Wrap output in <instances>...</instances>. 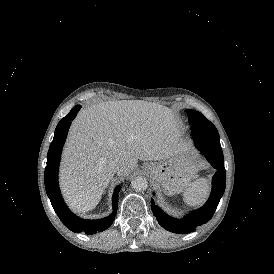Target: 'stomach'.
Wrapping results in <instances>:
<instances>
[{"label":"stomach","instance_id":"1","mask_svg":"<svg viewBox=\"0 0 274 274\" xmlns=\"http://www.w3.org/2000/svg\"><path fill=\"white\" fill-rule=\"evenodd\" d=\"M185 153L186 150L180 142L174 155L161 159L159 163H147L144 167L152 181L169 195L181 192L189 185L196 172L195 166L184 156Z\"/></svg>","mask_w":274,"mask_h":274}]
</instances>
